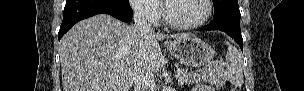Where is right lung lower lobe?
<instances>
[{
	"label": "right lung lower lobe",
	"instance_id": "obj_1",
	"mask_svg": "<svg viewBox=\"0 0 304 91\" xmlns=\"http://www.w3.org/2000/svg\"><path fill=\"white\" fill-rule=\"evenodd\" d=\"M102 13L109 14L124 22H129L132 19L131 7L118 6L114 0H67L58 39L60 40L78 21Z\"/></svg>",
	"mask_w": 304,
	"mask_h": 91
}]
</instances>
